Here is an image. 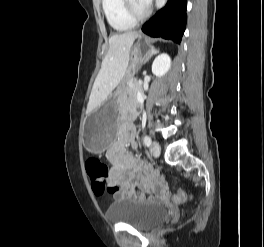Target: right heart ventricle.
<instances>
[{
	"mask_svg": "<svg viewBox=\"0 0 264 247\" xmlns=\"http://www.w3.org/2000/svg\"><path fill=\"white\" fill-rule=\"evenodd\" d=\"M102 8L108 23L117 31L134 27L135 21L125 12L124 0H102Z\"/></svg>",
	"mask_w": 264,
	"mask_h": 247,
	"instance_id": "e07e8e85",
	"label": "right heart ventricle"
}]
</instances>
